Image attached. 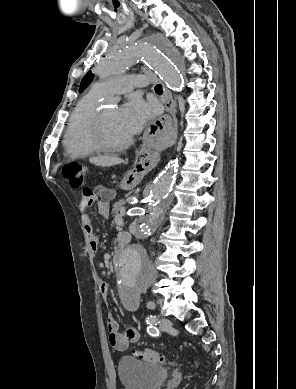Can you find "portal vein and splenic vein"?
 I'll return each instance as SVG.
<instances>
[{
    "label": "portal vein and splenic vein",
    "mask_w": 296,
    "mask_h": 389,
    "mask_svg": "<svg viewBox=\"0 0 296 389\" xmlns=\"http://www.w3.org/2000/svg\"><path fill=\"white\" fill-rule=\"evenodd\" d=\"M115 221L116 222L119 221L120 223H123L122 216L121 215L116 216Z\"/></svg>",
    "instance_id": "portal-vein-and-splenic-vein-1"
}]
</instances>
